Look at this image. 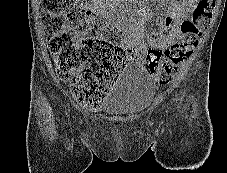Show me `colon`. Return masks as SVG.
I'll return each mask as SVG.
<instances>
[{"label": "colon", "instance_id": "1", "mask_svg": "<svg viewBox=\"0 0 227 173\" xmlns=\"http://www.w3.org/2000/svg\"><path fill=\"white\" fill-rule=\"evenodd\" d=\"M40 8L58 76L70 82L80 104L96 107L128 59L108 40L114 20L97 18L76 0H40ZM214 9L215 0H198L192 19L181 23L177 41L166 48L148 49L144 65L161 84L168 83L178 66L191 56ZM139 53L136 46L129 51L131 55Z\"/></svg>", "mask_w": 227, "mask_h": 173}]
</instances>
